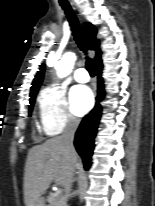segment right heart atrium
Masks as SVG:
<instances>
[{
    "label": "right heart atrium",
    "instance_id": "right-heart-atrium-1",
    "mask_svg": "<svg viewBox=\"0 0 155 206\" xmlns=\"http://www.w3.org/2000/svg\"><path fill=\"white\" fill-rule=\"evenodd\" d=\"M39 114L42 129L47 135H57L65 129L76 128L79 123L64 91L57 86H49L42 91Z\"/></svg>",
    "mask_w": 155,
    "mask_h": 206
}]
</instances>
